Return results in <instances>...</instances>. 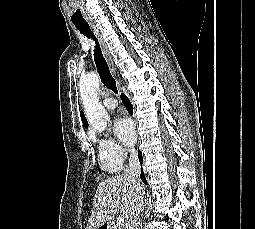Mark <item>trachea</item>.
Wrapping results in <instances>:
<instances>
[{
    "label": "trachea",
    "mask_w": 255,
    "mask_h": 229,
    "mask_svg": "<svg viewBox=\"0 0 255 229\" xmlns=\"http://www.w3.org/2000/svg\"><path fill=\"white\" fill-rule=\"evenodd\" d=\"M75 27L87 38H91L95 42L94 49V61L96 64V68L98 70L99 76L101 78L102 83L112 90L114 93H117L116 81L110 73L108 64L105 58L102 55V51L99 46V42L96 39L94 33L91 31L87 22L85 23H74Z\"/></svg>",
    "instance_id": "trachea-1"
}]
</instances>
